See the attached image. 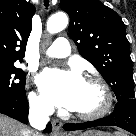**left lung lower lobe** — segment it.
<instances>
[{
	"instance_id": "obj_1",
	"label": "left lung lower lobe",
	"mask_w": 136,
	"mask_h": 136,
	"mask_svg": "<svg viewBox=\"0 0 136 136\" xmlns=\"http://www.w3.org/2000/svg\"><path fill=\"white\" fill-rule=\"evenodd\" d=\"M96 126H118L136 135V99L118 101L114 112L108 117L95 121L63 126L65 130H82Z\"/></svg>"
}]
</instances>
